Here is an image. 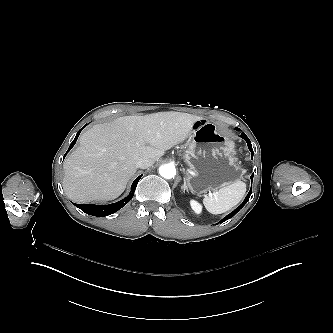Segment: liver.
<instances>
[{
    "label": "liver",
    "mask_w": 333,
    "mask_h": 333,
    "mask_svg": "<svg viewBox=\"0 0 333 333\" xmlns=\"http://www.w3.org/2000/svg\"><path fill=\"white\" fill-rule=\"evenodd\" d=\"M202 120L187 113L160 112L95 125L64 162L66 195L76 203L117 198L140 158L157 162L164 151L185 142Z\"/></svg>",
    "instance_id": "obj_1"
}]
</instances>
